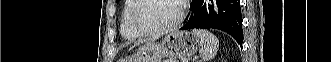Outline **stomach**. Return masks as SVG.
<instances>
[{"label": "stomach", "instance_id": "stomach-1", "mask_svg": "<svg viewBox=\"0 0 331 62\" xmlns=\"http://www.w3.org/2000/svg\"><path fill=\"white\" fill-rule=\"evenodd\" d=\"M201 46L200 39L188 31H174L160 42L150 41L141 45L133 56L134 62H161L164 57L172 60L191 56Z\"/></svg>", "mask_w": 331, "mask_h": 62}]
</instances>
